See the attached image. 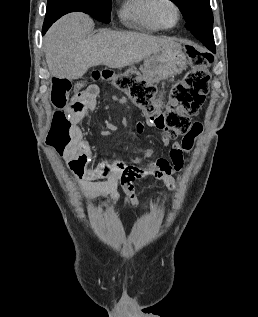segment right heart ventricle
Returning a JSON list of instances; mask_svg holds the SVG:
<instances>
[{"mask_svg":"<svg viewBox=\"0 0 258 317\" xmlns=\"http://www.w3.org/2000/svg\"><path fill=\"white\" fill-rule=\"evenodd\" d=\"M157 0H126L121 4L119 19L125 25L148 33L158 32L161 28L153 18Z\"/></svg>","mask_w":258,"mask_h":317,"instance_id":"1","label":"right heart ventricle"}]
</instances>
